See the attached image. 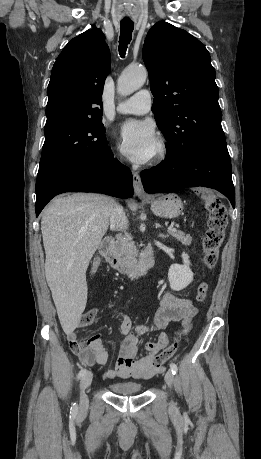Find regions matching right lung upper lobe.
I'll use <instances>...</instances> for the list:
<instances>
[{
    "mask_svg": "<svg viewBox=\"0 0 261 459\" xmlns=\"http://www.w3.org/2000/svg\"><path fill=\"white\" fill-rule=\"evenodd\" d=\"M109 72L110 52L99 29L73 38L53 65L45 130L101 120L102 92Z\"/></svg>",
    "mask_w": 261,
    "mask_h": 459,
    "instance_id": "cb5924a9",
    "label": "right lung upper lobe"
}]
</instances>
